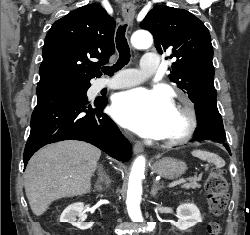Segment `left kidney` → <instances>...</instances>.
I'll list each match as a JSON object with an SVG mask.
<instances>
[{
  "label": "left kidney",
  "mask_w": 250,
  "mask_h": 235,
  "mask_svg": "<svg viewBox=\"0 0 250 235\" xmlns=\"http://www.w3.org/2000/svg\"><path fill=\"white\" fill-rule=\"evenodd\" d=\"M178 222L174 223L180 231H186L199 222L202 217L198 207L195 204H182L177 208Z\"/></svg>",
  "instance_id": "5707ae66"
}]
</instances>
